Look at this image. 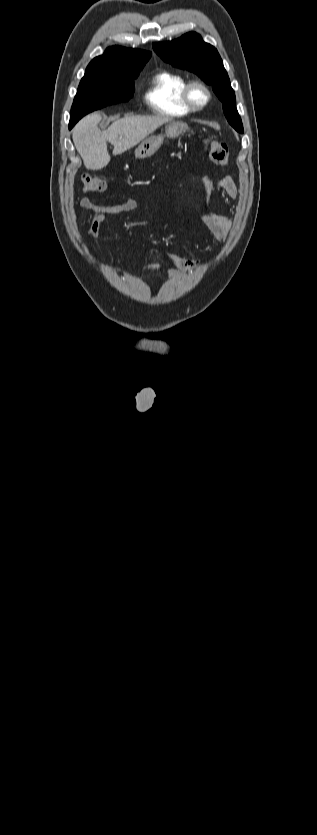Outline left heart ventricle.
<instances>
[{
    "label": "left heart ventricle",
    "instance_id": "obj_1",
    "mask_svg": "<svg viewBox=\"0 0 317 835\" xmlns=\"http://www.w3.org/2000/svg\"><path fill=\"white\" fill-rule=\"evenodd\" d=\"M193 99H194L197 103H202V102L204 101V99H205V93H204V91H203V90H201V89H199V88L194 89V90H193Z\"/></svg>",
    "mask_w": 317,
    "mask_h": 835
}]
</instances>
